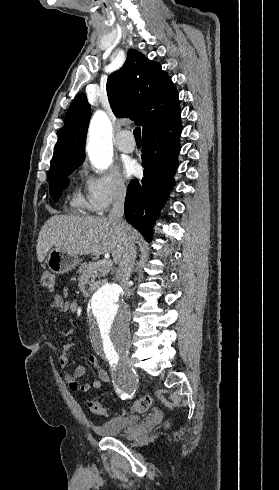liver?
<instances>
[{
    "instance_id": "liver-1",
    "label": "liver",
    "mask_w": 279,
    "mask_h": 490,
    "mask_svg": "<svg viewBox=\"0 0 279 490\" xmlns=\"http://www.w3.org/2000/svg\"><path fill=\"white\" fill-rule=\"evenodd\" d=\"M132 240L140 234L129 224L124 228ZM120 228L112 226L108 218L93 216H52L42 226L37 242V260L43 262L50 248L65 250L77 256H101L111 254L115 264L120 262L124 252V242Z\"/></svg>"
}]
</instances>
